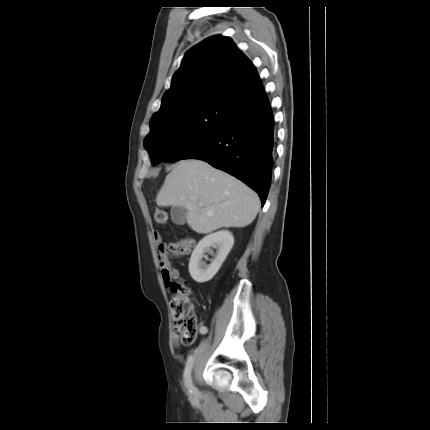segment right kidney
I'll list each match as a JSON object with an SVG mask.
<instances>
[{
    "mask_svg": "<svg viewBox=\"0 0 430 430\" xmlns=\"http://www.w3.org/2000/svg\"><path fill=\"white\" fill-rule=\"evenodd\" d=\"M233 244V235L227 230L215 232L201 239L193 250L189 261V273L192 279L197 283L211 280L219 271ZM210 247L218 248L217 255L210 265H206L201 259L205 252H210Z\"/></svg>",
    "mask_w": 430,
    "mask_h": 430,
    "instance_id": "ca27d5eb",
    "label": "right kidney"
}]
</instances>
